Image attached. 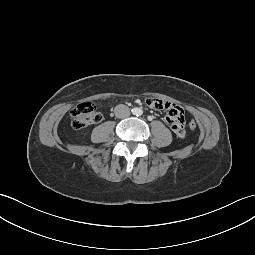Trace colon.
I'll use <instances>...</instances> for the list:
<instances>
[{
    "instance_id": "1",
    "label": "colon",
    "mask_w": 255,
    "mask_h": 255,
    "mask_svg": "<svg viewBox=\"0 0 255 255\" xmlns=\"http://www.w3.org/2000/svg\"><path fill=\"white\" fill-rule=\"evenodd\" d=\"M182 109V108H181ZM183 110V109H182ZM184 111V110H183ZM103 116L98 107L91 102H84L77 105L71 112V125L75 129L84 128L90 124L98 123ZM190 131L196 130V122L191 120L188 122Z\"/></svg>"
}]
</instances>
